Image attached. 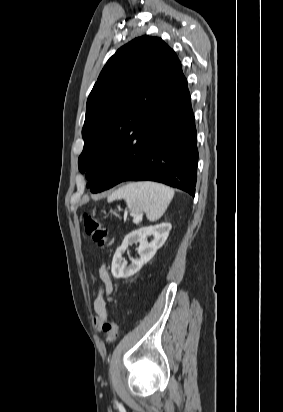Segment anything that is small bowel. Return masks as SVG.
Listing matches in <instances>:
<instances>
[{
	"label": "small bowel",
	"mask_w": 283,
	"mask_h": 412,
	"mask_svg": "<svg viewBox=\"0 0 283 412\" xmlns=\"http://www.w3.org/2000/svg\"><path fill=\"white\" fill-rule=\"evenodd\" d=\"M99 276H100L103 286L100 289L99 294L94 300V304H93V308L95 312L93 321L98 330L102 328L104 320L106 318V313H107L106 302L103 298V293H106L109 296L112 295L113 293L111 279H110L108 272L105 270V268H101L99 270Z\"/></svg>",
	"instance_id": "small-bowel-1"
}]
</instances>
